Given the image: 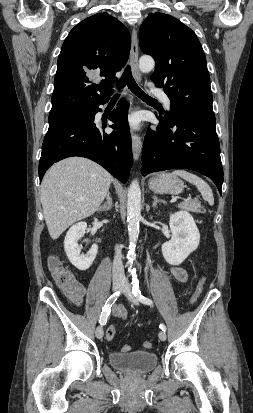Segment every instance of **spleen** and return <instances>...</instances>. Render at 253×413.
<instances>
[{
  "label": "spleen",
  "mask_w": 253,
  "mask_h": 413,
  "mask_svg": "<svg viewBox=\"0 0 253 413\" xmlns=\"http://www.w3.org/2000/svg\"><path fill=\"white\" fill-rule=\"evenodd\" d=\"M173 174L182 177L189 183L195 185L199 192L201 193L203 199L207 201L210 205L214 204V197L210 186L197 175L190 173L186 170H175Z\"/></svg>",
  "instance_id": "3e777b00"
}]
</instances>
